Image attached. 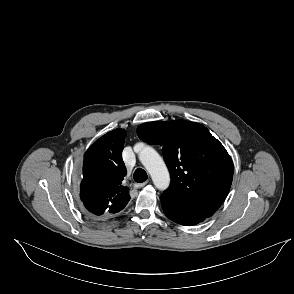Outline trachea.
<instances>
[{"instance_id":"3493384b","label":"trachea","mask_w":294,"mask_h":294,"mask_svg":"<svg viewBox=\"0 0 294 294\" xmlns=\"http://www.w3.org/2000/svg\"><path fill=\"white\" fill-rule=\"evenodd\" d=\"M133 177L137 183H142L148 178L147 173L142 168H137L134 172Z\"/></svg>"}]
</instances>
